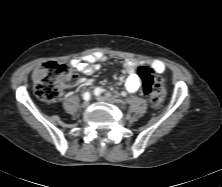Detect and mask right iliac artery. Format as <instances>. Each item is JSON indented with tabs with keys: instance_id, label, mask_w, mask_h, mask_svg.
Returning <instances> with one entry per match:
<instances>
[{
	"instance_id": "82829eb1",
	"label": "right iliac artery",
	"mask_w": 222,
	"mask_h": 187,
	"mask_svg": "<svg viewBox=\"0 0 222 187\" xmlns=\"http://www.w3.org/2000/svg\"><path fill=\"white\" fill-rule=\"evenodd\" d=\"M90 97H91V95H90L89 92H85V93L83 94V98H84V100H86V101L90 100Z\"/></svg>"
}]
</instances>
